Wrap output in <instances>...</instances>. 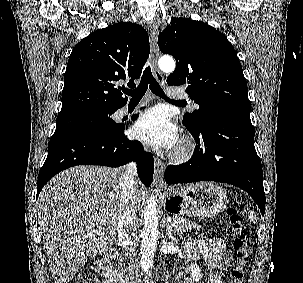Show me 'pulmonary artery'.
I'll return each mask as SVG.
<instances>
[{"mask_svg": "<svg viewBox=\"0 0 303 283\" xmlns=\"http://www.w3.org/2000/svg\"><path fill=\"white\" fill-rule=\"evenodd\" d=\"M167 94L168 97L170 98H185L186 97V92L183 88L181 87H177V86H173V87H168L167 88ZM193 107L197 108L198 105L194 102L191 103ZM129 109L127 107H123L122 109L119 110V115L120 116H125L129 113Z\"/></svg>", "mask_w": 303, "mask_h": 283, "instance_id": "e3ab8cb5", "label": "pulmonary artery"}]
</instances>
